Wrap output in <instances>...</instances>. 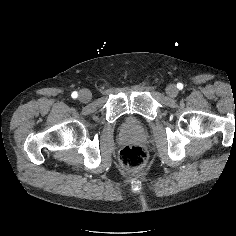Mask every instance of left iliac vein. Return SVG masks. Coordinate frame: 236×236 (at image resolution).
I'll list each match as a JSON object with an SVG mask.
<instances>
[{"mask_svg":"<svg viewBox=\"0 0 236 236\" xmlns=\"http://www.w3.org/2000/svg\"><path fill=\"white\" fill-rule=\"evenodd\" d=\"M166 93L168 96L174 98L178 95L179 91L174 84H170L166 87Z\"/></svg>","mask_w":236,"mask_h":236,"instance_id":"obj_1","label":"left iliac vein"}]
</instances>
